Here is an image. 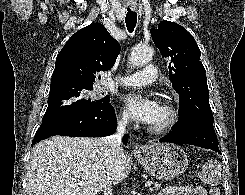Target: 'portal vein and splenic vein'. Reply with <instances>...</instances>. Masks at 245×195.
I'll use <instances>...</instances> for the list:
<instances>
[{
    "mask_svg": "<svg viewBox=\"0 0 245 195\" xmlns=\"http://www.w3.org/2000/svg\"><path fill=\"white\" fill-rule=\"evenodd\" d=\"M78 184H79V185H82V184H83V181H78ZM152 184H153V183H152L151 181H148V182L145 183V186H146V187H150Z\"/></svg>",
    "mask_w": 245,
    "mask_h": 195,
    "instance_id": "portal-vein-and-splenic-vein-1",
    "label": "portal vein and splenic vein"
}]
</instances>
